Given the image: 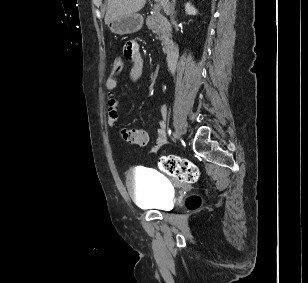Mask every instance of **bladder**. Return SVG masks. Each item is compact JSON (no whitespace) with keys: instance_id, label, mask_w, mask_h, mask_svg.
Masks as SVG:
<instances>
[{"instance_id":"obj_1","label":"bladder","mask_w":308,"mask_h":283,"mask_svg":"<svg viewBox=\"0 0 308 283\" xmlns=\"http://www.w3.org/2000/svg\"><path fill=\"white\" fill-rule=\"evenodd\" d=\"M126 188L134 202L143 208L164 209L170 195V187L163 176L144 167L128 172Z\"/></svg>"}]
</instances>
